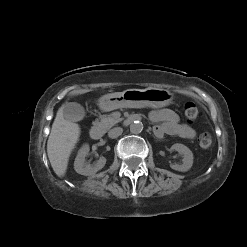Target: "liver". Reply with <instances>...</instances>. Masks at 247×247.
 I'll return each mask as SVG.
<instances>
[{"mask_svg":"<svg viewBox=\"0 0 247 247\" xmlns=\"http://www.w3.org/2000/svg\"><path fill=\"white\" fill-rule=\"evenodd\" d=\"M63 106L57 111L47 141V154L57 176L66 173L69 157L80 137V126L68 121L63 116Z\"/></svg>","mask_w":247,"mask_h":247,"instance_id":"obj_1","label":"liver"}]
</instances>
